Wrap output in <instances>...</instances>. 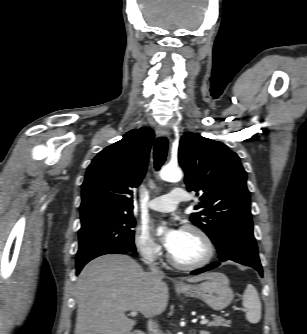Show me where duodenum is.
<instances>
[{"label": "duodenum", "mask_w": 307, "mask_h": 334, "mask_svg": "<svg viewBox=\"0 0 307 334\" xmlns=\"http://www.w3.org/2000/svg\"><path fill=\"white\" fill-rule=\"evenodd\" d=\"M132 334H145L142 330H136Z\"/></svg>", "instance_id": "duodenum-1"}]
</instances>
